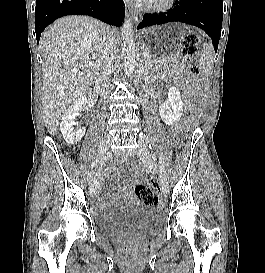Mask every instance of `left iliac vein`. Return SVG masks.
Returning a JSON list of instances; mask_svg holds the SVG:
<instances>
[{"mask_svg":"<svg viewBox=\"0 0 265 273\" xmlns=\"http://www.w3.org/2000/svg\"><path fill=\"white\" fill-rule=\"evenodd\" d=\"M138 155H139V158L144 163H146L149 166H153L154 169L158 172V177H159L161 188H162L163 192L167 193L168 188H169L168 178L163 172L157 170L156 164H155L145 142H143L141 139L139 140Z\"/></svg>","mask_w":265,"mask_h":273,"instance_id":"1","label":"left iliac vein"}]
</instances>
